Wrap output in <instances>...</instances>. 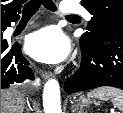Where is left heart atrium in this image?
Segmentation results:
<instances>
[{
  "instance_id": "39dd6f15",
  "label": "left heart atrium",
  "mask_w": 123,
  "mask_h": 113,
  "mask_svg": "<svg viewBox=\"0 0 123 113\" xmlns=\"http://www.w3.org/2000/svg\"><path fill=\"white\" fill-rule=\"evenodd\" d=\"M26 51L34 59L44 63H59L70 53V42L56 26H48L30 34Z\"/></svg>"
}]
</instances>
